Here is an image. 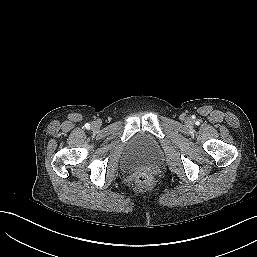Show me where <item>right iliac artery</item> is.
I'll return each instance as SVG.
<instances>
[{
  "instance_id": "82829eb1",
  "label": "right iliac artery",
  "mask_w": 257,
  "mask_h": 257,
  "mask_svg": "<svg viewBox=\"0 0 257 257\" xmlns=\"http://www.w3.org/2000/svg\"><path fill=\"white\" fill-rule=\"evenodd\" d=\"M85 127H86L87 129L90 128V124L86 123V124H85Z\"/></svg>"
}]
</instances>
